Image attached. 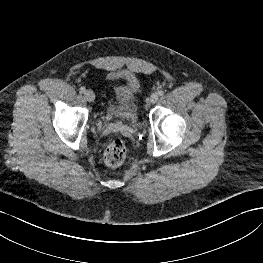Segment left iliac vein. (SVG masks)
<instances>
[{
  "instance_id": "left-iliac-vein-1",
  "label": "left iliac vein",
  "mask_w": 263,
  "mask_h": 263,
  "mask_svg": "<svg viewBox=\"0 0 263 263\" xmlns=\"http://www.w3.org/2000/svg\"><path fill=\"white\" fill-rule=\"evenodd\" d=\"M158 98H159L158 94L157 93H153L150 96V102L154 104V103H156L158 101Z\"/></svg>"
}]
</instances>
